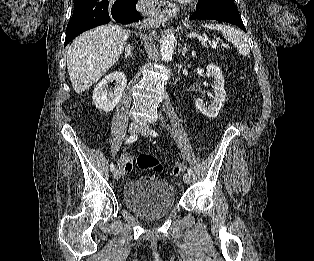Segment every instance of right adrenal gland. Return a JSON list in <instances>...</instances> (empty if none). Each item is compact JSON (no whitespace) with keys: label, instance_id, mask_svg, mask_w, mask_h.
<instances>
[{"label":"right adrenal gland","instance_id":"2a0ac1e0","mask_svg":"<svg viewBox=\"0 0 314 261\" xmlns=\"http://www.w3.org/2000/svg\"><path fill=\"white\" fill-rule=\"evenodd\" d=\"M124 50H125L124 58H126V59L127 58H132L133 47L130 44H128V45L125 46Z\"/></svg>","mask_w":314,"mask_h":261}]
</instances>
